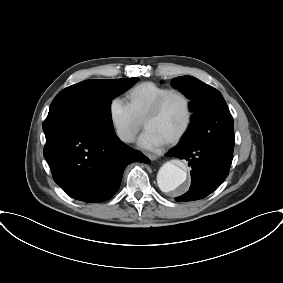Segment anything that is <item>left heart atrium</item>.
<instances>
[{
    "label": "left heart atrium",
    "mask_w": 283,
    "mask_h": 283,
    "mask_svg": "<svg viewBox=\"0 0 283 283\" xmlns=\"http://www.w3.org/2000/svg\"><path fill=\"white\" fill-rule=\"evenodd\" d=\"M166 141L151 130L146 129L140 136L138 144L145 149H154L163 145Z\"/></svg>",
    "instance_id": "obj_1"
}]
</instances>
